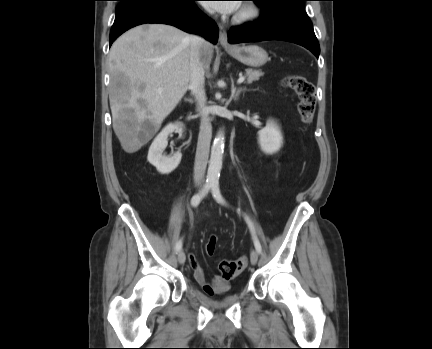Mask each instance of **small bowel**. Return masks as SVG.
I'll return each instance as SVG.
<instances>
[{
  "mask_svg": "<svg viewBox=\"0 0 432 349\" xmlns=\"http://www.w3.org/2000/svg\"><path fill=\"white\" fill-rule=\"evenodd\" d=\"M189 263L193 270L194 278L205 291L209 293L219 292L228 287L227 280L223 279L221 276H215L210 282L207 281L197 258L193 254L189 255Z\"/></svg>",
  "mask_w": 432,
  "mask_h": 349,
  "instance_id": "obj_1",
  "label": "small bowel"
}]
</instances>
